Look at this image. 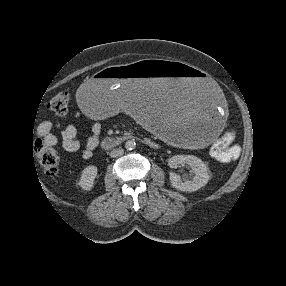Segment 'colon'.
<instances>
[{"label":"colon","mask_w":286,"mask_h":286,"mask_svg":"<svg viewBox=\"0 0 286 286\" xmlns=\"http://www.w3.org/2000/svg\"><path fill=\"white\" fill-rule=\"evenodd\" d=\"M49 109L59 116H65L70 111V98L67 93H60L49 102ZM236 138V130L230 129L225 132L213 145L212 153L220 160H229L232 156L230 147ZM35 155L47 175H55L60 166L58 153L48 145L38 141L34 146Z\"/></svg>","instance_id":"5ec220e1"}]
</instances>
